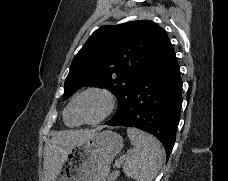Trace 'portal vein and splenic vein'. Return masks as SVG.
I'll use <instances>...</instances> for the list:
<instances>
[{"instance_id": "portal-vein-and-splenic-vein-1", "label": "portal vein and splenic vein", "mask_w": 228, "mask_h": 181, "mask_svg": "<svg viewBox=\"0 0 228 181\" xmlns=\"http://www.w3.org/2000/svg\"><path fill=\"white\" fill-rule=\"evenodd\" d=\"M130 153H127V155H123V157H120L121 161H116L115 165L118 169L122 168V165L120 163H122V161H125L126 157H129Z\"/></svg>"}]
</instances>
